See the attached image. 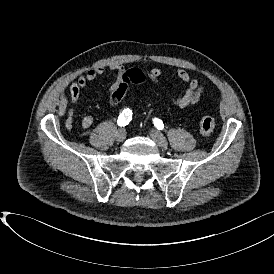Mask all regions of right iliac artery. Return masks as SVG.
<instances>
[{"label": "right iliac artery", "mask_w": 274, "mask_h": 274, "mask_svg": "<svg viewBox=\"0 0 274 274\" xmlns=\"http://www.w3.org/2000/svg\"><path fill=\"white\" fill-rule=\"evenodd\" d=\"M131 118H132V111L129 109L124 110L122 114H120V116L118 117L117 123L119 126L124 127L129 123Z\"/></svg>", "instance_id": "82829eb1"}]
</instances>
